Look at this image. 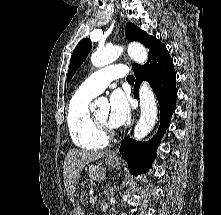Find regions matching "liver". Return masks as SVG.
<instances>
[{
	"mask_svg": "<svg viewBox=\"0 0 221 215\" xmlns=\"http://www.w3.org/2000/svg\"><path fill=\"white\" fill-rule=\"evenodd\" d=\"M105 152L72 149L67 153L63 164L64 185L71 202L74 201L76 185L85 165L104 157Z\"/></svg>",
	"mask_w": 221,
	"mask_h": 215,
	"instance_id": "1",
	"label": "liver"
}]
</instances>
